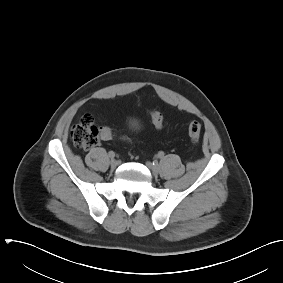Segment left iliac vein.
Returning a JSON list of instances; mask_svg holds the SVG:
<instances>
[{
	"instance_id": "1",
	"label": "left iliac vein",
	"mask_w": 283,
	"mask_h": 283,
	"mask_svg": "<svg viewBox=\"0 0 283 283\" xmlns=\"http://www.w3.org/2000/svg\"><path fill=\"white\" fill-rule=\"evenodd\" d=\"M146 166L149 168V170L154 174V175H158L160 172V168L157 164L151 163V162H147Z\"/></svg>"
}]
</instances>
